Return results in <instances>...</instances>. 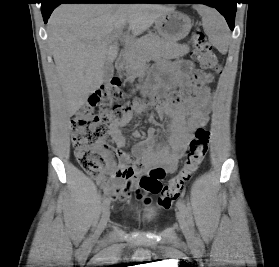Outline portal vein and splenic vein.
<instances>
[{
	"label": "portal vein and splenic vein",
	"mask_w": 279,
	"mask_h": 267,
	"mask_svg": "<svg viewBox=\"0 0 279 267\" xmlns=\"http://www.w3.org/2000/svg\"><path fill=\"white\" fill-rule=\"evenodd\" d=\"M123 33V30L122 29H118L114 32V34L112 35V38L115 39V38H118L119 36H121Z\"/></svg>",
	"instance_id": "18ae733b"
}]
</instances>
